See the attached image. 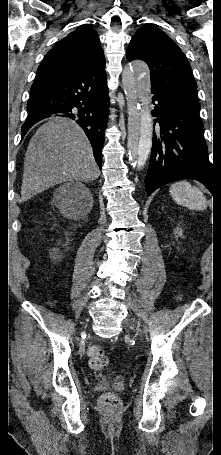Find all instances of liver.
Segmentation results:
<instances>
[{
  "label": "liver",
  "mask_w": 221,
  "mask_h": 455,
  "mask_svg": "<svg viewBox=\"0 0 221 455\" xmlns=\"http://www.w3.org/2000/svg\"><path fill=\"white\" fill-rule=\"evenodd\" d=\"M100 170L89 140L74 121L53 117L31 138L24 160L21 202L67 181H94Z\"/></svg>",
  "instance_id": "liver-1"
}]
</instances>
